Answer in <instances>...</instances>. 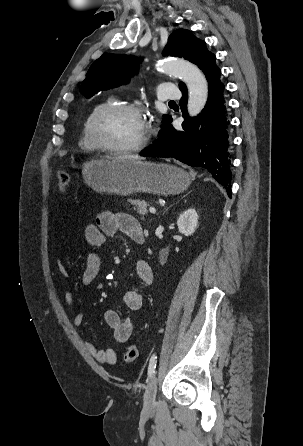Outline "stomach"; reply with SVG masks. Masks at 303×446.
<instances>
[{
	"mask_svg": "<svg viewBox=\"0 0 303 446\" xmlns=\"http://www.w3.org/2000/svg\"><path fill=\"white\" fill-rule=\"evenodd\" d=\"M85 183L101 193L135 192L174 195L190 185L187 172L176 166L134 159L92 160L82 165Z\"/></svg>",
	"mask_w": 303,
	"mask_h": 446,
	"instance_id": "stomach-1",
	"label": "stomach"
}]
</instances>
